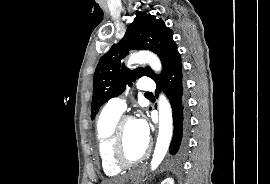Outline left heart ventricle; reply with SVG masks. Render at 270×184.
Listing matches in <instances>:
<instances>
[{
	"mask_svg": "<svg viewBox=\"0 0 270 184\" xmlns=\"http://www.w3.org/2000/svg\"><path fill=\"white\" fill-rule=\"evenodd\" d=\"M148 140L144 138L136 124L129 121L124 126V154L129 159L138 158L146 149Z\"/></svg>",
	"mask_w": 270,
	"mask_h": 184,
	"instance_id": "obj_1",
	"label": "left heart ventricle"
}]
</instances>
